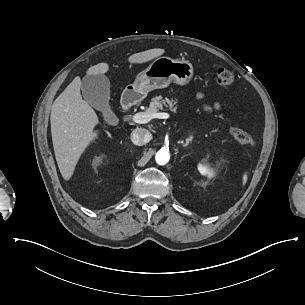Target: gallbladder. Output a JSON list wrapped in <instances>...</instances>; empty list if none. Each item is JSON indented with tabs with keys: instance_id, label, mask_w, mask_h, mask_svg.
Returning a JSON list of instances; mask_svg holds the SVG:
<instances>
[{
	"instance_id": "bac80fb5",
	"label": "gallbladder",
	"mask_w": 305,
	"mask_h": 305,
	"mask_svg": "<svg viewBox=\"0 0 305 305\" xmlns=\"http://www.w3.org/2000/svg\"><path fill=\"white\" fill-rule=\"evenodd\" d=\"M81 90L84 100L99 111L105 121L109 122L115 117L110 105V82L106 76H85Z\"/></svg>"
}]
</instances>
